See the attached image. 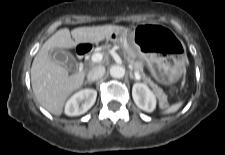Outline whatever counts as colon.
Returning a JSON list of instances; mask_svg holds the SVG:
<instances>
[{"label":"colon","instance_id":"1","mask_svg":"<svg viewBox=\"0 0 225 155\" xmlns=\"http://www.w3.org/2000/svg\"><path fill=\"white\" fill-rule=\"evenodd\" d=\"M168 90L176 92L178 90V86L177 85H170V86H168Z\"/></svg>","mask_w":225,"mask_h":155}]
</instances>
